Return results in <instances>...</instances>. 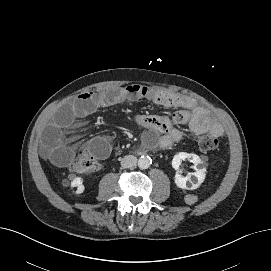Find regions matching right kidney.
Here are the masks:
<instances>
[{
    "mask_svg": "<svg viewBox=\"0 0 271 271\" xmlns=\"http://www.w3.org/2000/svg\"><path fill=\"white\" fill-rule=\"evenodd\" d=\"M71 186L72 187H77L76 193L77 194H81L84 191V185H83V179L80 177L75 178L72 182H71Z\"/></svg>",
    "mask_w": 271,
    "mask_h": 271,
    "instance_id": "ca27d5eb",
    "label": "right kidney"
}]
</instances>
